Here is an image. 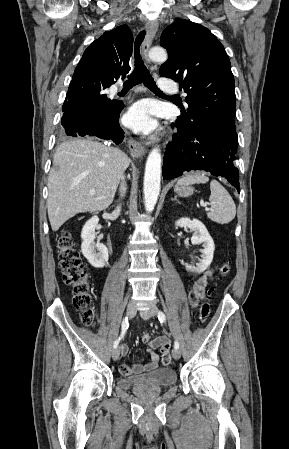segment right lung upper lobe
<instances>
[{
  "instance_id": "right-lung-upper-lobe-1",
  "label": "right lung upper lobe",
  "mask_w": 289,
  "mask_h": 449,
  "mask_svg": "<svg viewBox=\"0 0 289 449\" xmlns=\"http://www.w3.org/2000/svg\"><path fill=\"white\" fill-rule=\"evenodd\" d=\"M133 37L127 25L104 32L85 51L73 78L109 87L130 71Z\"/></svg>"
}]
</instances>
